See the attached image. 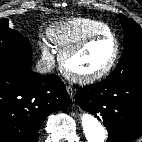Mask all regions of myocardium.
<instances>
[{"label": "myocardium", "mask_w": 142, "mask_h": 142, "mask_svg": "<svg viewBox=\"0 0 142 142\" xmlns=\"http://www.w3.org/2000/svg\"><path fill=\"white\" fill-rule=\"evenodd\" d=\"M109 39L113 41L115 45L114 54L111 58V60L107 63L106 66H104L102 69L90 73V74H80L73 70H71L68 67V61L82 52L85 48H87L90 44L99 41V40H105ZM120 55V44L117 40V38L111 33L106 35H93L88 38L83 39L82 41L78 42L77 44L73 45L69 49L63 51L60 54L59 62H60V68L63 71V73L69 77L70 79L77 81L79 83H93L95 81H98L108 75L111 70L116 65Z\"/></svg>", "instance_id": "f54148a6"}]
</instances>
